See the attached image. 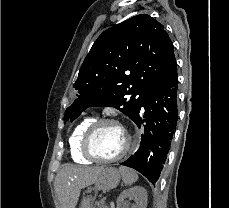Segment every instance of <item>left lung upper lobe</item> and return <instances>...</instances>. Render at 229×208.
<instances>
[{
	"instance_id": "5c2ea615",
	"label": "left lung upper lobe",
	"mask_w": 229,
	"mask_h": 208,
	"mask_svg": "<svg viewBox=\"0 0 229 208\" xmlns=\"http://www.w3.org/2000/svg\"><path fill=\"white\" fill-rule=\"evenodd\" d=\"M177 73L173 43L164 26L147 14L134 16L101 33L74 84L78 99L64 122L90 106H112L133 119L147 93Z\"/></svg>"
}]
</instances>
